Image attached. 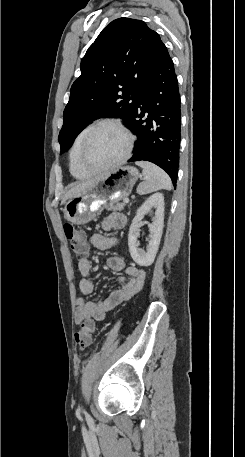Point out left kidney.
<instances>
[{"label":"left kidney","instance_id":"left-kidney-1","mask_svg":"<svg viewBox=\"0 0 245 457\" xmlns=\"http://www.w3.org/2000/svg\"><path fill=\"white\" fill-rule=\"evenodd\" d=\"M151 208H155V216L152 218V224H149L150 241L146 247V251H144V249H138L139 243L137 239L139 235L136 231H138L139 222L141 218H143L144 214L152 212ZM163 224L164 196L161 192H154V194H151V196H149V198H147V200L139 206L129 229L128 245L130 255L133 261H135L137 265H140V267H150V265L154 263L162 237Z\"/></svg>","mask_w":245,"mask_h":457}]
</instances>
